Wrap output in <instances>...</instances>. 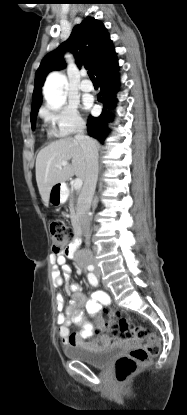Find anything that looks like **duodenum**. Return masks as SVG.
Instances as JSON below:
<instances>
[{
  "mask_svg": "<svg viewBox=\"0 0 187 415\" xmlns=\"http://www.w3.org/2000/svg\"><path fill=\"white\" fill-rule=\"evenodd\" d=\"M64 191V190H63ZM75 233H76V239L74 244L72 245V247L69 250V255H73L74 251L76 250V248L78 247L80 240H81V230H80V226L76 225L75 226Z\"/></svg>",
  "mask_w": 187,
  "mask_h": 415,
  "instance_id": "obj_1",
  "label": "duodenum"
}]
</instances>
